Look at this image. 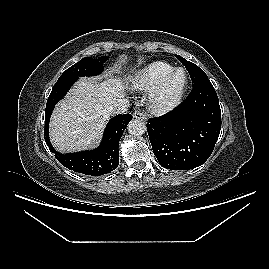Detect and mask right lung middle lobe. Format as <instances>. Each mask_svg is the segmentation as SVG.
<instances>
[{
    "label": "right lung middle lobe",
    "instance_id": "right-lung-middle-lobe-1",
    "mask_svg": "<svg viewBox=\"0 0 269 269\" xmlns=\"http://www.w3.org/2000/svg\"><path fill=\"white\" fill-rule=\"evenodd\" d=\"M106 59V57H100L99 59L85 57L64 71L58 80L68 77L78 78L80 76L98 75L103 71V63L106 61Z\"/></svg>",
    "mask_w": 269,
    "mask_h": 269
}]
</instances>
